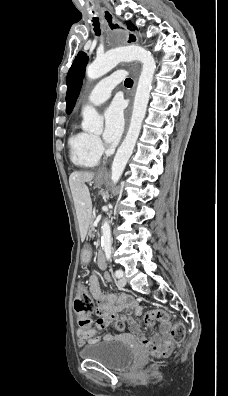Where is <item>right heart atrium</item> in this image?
I'll return each mask as SVG.
<instances>
[{"mask_svg": "<svg viewBox=\"0 0 228 396\" xmlns=\"http://www.w3.org/2000/svg\"><path fill=\"white\" fill-rule=\"evenodd\" d=\"M94 147L99 153H101L103 150L102 143H101L100 139L97 137H94Z\"/></svg>", "mask_w": 228, "mask_h": 396, "instance_id": "obj_1", "label": "right heart atrium"}]
</instances>
